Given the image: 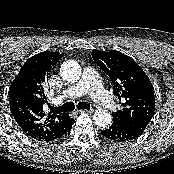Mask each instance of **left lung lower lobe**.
Listing matches in <instances>:
<instances>
[{"instance_id": "obj_1", "label": "left lung lower lobe", "mask_w": 174, "mask_h": 174, "mask_svg": "<svg viewBox=\"0 0 174 174\" xmlns=\"http://www.w3.org/2000/svg\"><path fill=\"white\" fill-rule=\"evenodd\" d=\"M143 131L113 120L110 127L101 131V135L116 142L130 141L138 138Z\"/></svg>"}]
</instances>
